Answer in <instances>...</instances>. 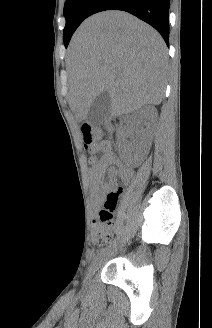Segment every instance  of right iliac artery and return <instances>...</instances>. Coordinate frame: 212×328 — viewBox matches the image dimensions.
<instances>
[{"mask_svg": "<svg viewBox=\"0 0 212 328\" xmlns=\"http://www.w3.org/2000/svg\"><path fill=\"white\" fill-rule=\"evenodd\" d=\"M117 242H118V238L115 239L111 245L97 251V254L94 256L92 263H94L100 256H102L105 253L109 252L112 249V247L116 246Z\"/></svg>", "mask_w": 212, "mask_h": 328, "instance_id": "82829eb1", "label": "right iliac artery"}]
</instances>
